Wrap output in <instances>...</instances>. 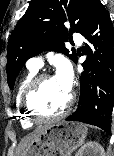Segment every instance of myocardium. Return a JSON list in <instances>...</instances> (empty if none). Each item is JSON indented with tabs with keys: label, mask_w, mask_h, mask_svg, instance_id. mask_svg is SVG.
<instances>
[{
	"label": "myocardium",
	"mask_w": 114,
	"mask_h": 156,
	"mask_svg": "<svg viewBox=\"0 0 114 156\" xmlns=\"http://www.w3.org/2000/svg\"><path fill=\"white\" fill-rule=\"evenodd\" d=\"M54 76L50 73H41L37 74L26 86L22 98H21V105L28 116L29 119H31L34 122H43V121H51V120H57L65 117L73 104L74 96L73 94L69 93L68 101L65 105V107L57 114L54 115H44L39 113L32 105V98L36 91L38 90L39 86L47 79L53 78Z\"/></svg>",
	"instance_id": "obj_1"
}]
</instances>
